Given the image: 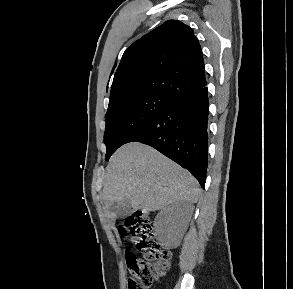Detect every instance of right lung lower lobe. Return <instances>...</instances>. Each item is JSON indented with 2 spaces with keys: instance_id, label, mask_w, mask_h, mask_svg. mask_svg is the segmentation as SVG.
<instances>
[{
  "instance_id": "98d812e1",
  "label": "right lung lower lobe",
  "mask_w": 293,
  "mask_h": 289,
  "mask_svg": "<svg viewBox=\"0 0 293 289\" xmlns=\"http://www.w3.org/2000/svg\"><path fill=\"white\" fill-rule=\"evenodd\" d=\"M208 113L205 86L173 101L128 142L152 146L185 167L204 187L208 163Z\"/></svg>"
}]
</instances>
